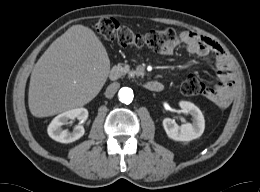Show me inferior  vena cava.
<instances>
[{"mask_svg":"<svg viewBox=\"0 0 260 192\" xmlns=\"http://www.w3.org/2000/svg\"><path fill=\"white\" fill-rule=\"evenodd\" d=\"M120 87V84L118 82H114L112 84H110L107 89H106V92H105V95L107 98H112L115 93L117 92V90L119 89Z\"/></svg>","mask_w":260,"mask_h":192,"instance_id":"602c4592","label":"inferior vena cava"}]
</instances>
